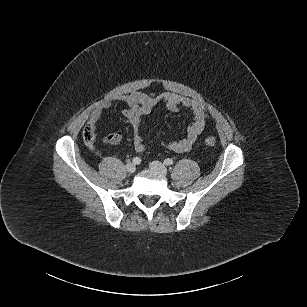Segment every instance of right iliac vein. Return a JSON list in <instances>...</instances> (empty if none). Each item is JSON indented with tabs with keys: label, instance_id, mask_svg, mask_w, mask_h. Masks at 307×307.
Here are the masks:
<instances>
[{
	"label": "right iliac vein",
	"instance_id": "63e3f726",
	"mask_svg": "<svg viewBox=\"0 0 307 307\" xmlns=\"http://www.w3.org/2000/svg\"><path fill=\"white\" fill-rule=\"evenodd\" d=\"M135 170H136V167H135L134 164L128 163V164L126 165V171H127V172H129V173H134Z\"/></svg>",
	"mask_w": 307,
	"mask_h": 307
}]
</instances>
